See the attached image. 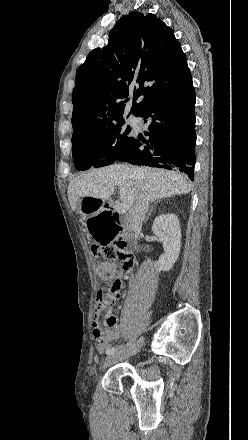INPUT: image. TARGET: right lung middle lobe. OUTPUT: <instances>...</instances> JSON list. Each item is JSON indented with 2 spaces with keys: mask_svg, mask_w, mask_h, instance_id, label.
<instances>
[{
  "mask_svg": "<svg viewBox=\"0 0 248 440\" xmlns=\"http://www.w3.org/2000/svg\"><path fill=\"white\" fill-rule=\"evenodd\" d=\"M123 122L106 129L72 136V154L75 167L87 170L90 167L110 165L127 151L131 128L122 129Z\"/></svg>",
  "mask_w": 248,
  "mask_h": 440,
  "instance_id": "obj_1",
  "label": "right lung middle lobe"
}]
</instances>
